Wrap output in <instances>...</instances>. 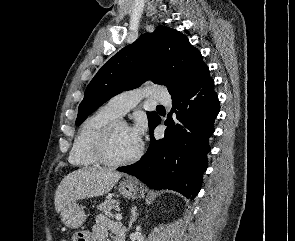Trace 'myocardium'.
Here are the masks:
<instances>
[{
	"mask_svg": "<svg viewBox=\"0 0 295 241\" xmlns=\"http://www.w3.org/2000/svg\"><path fill=\"white\" fill-rule=\"evenodd\" d=\"M119 125L127 126V123L120 119H115L110 122L101 133L94 147V154L99 163L109 167H120L132 164L138 161L143 155L144 145L140 142L139 148L134 155L122 160H115L111 158L109 154L110 143L114 134L115 129Z\"/></svg>",
	"mask_w": 295,
	"mask_h": 241,
	"instance_id": "myocardium-1",
	"label": "myocardium"
}]
</instances>
